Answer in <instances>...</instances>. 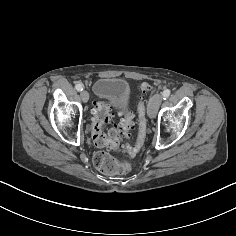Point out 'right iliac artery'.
I'll use <instances>...</instances> for the list:
<instances>
[{
  "mask_svg": "<svg viewBox=\"0 0 236 236\" xmlns=\"http://www.w3.org/2000/svg\"><path fill=\"white\" fill-rule=\"evenodd\" d=\"M75 88H76V90H77L78 92H80V91L83 90V85H82V84H77V85L75 86Z\"/></svg>",
  "mask_w": 236,
  "mask_h": 236,
  "instance_id": "1",
  "label": "right iliac artery"
}]
</instances>
